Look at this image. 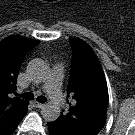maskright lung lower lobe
Returning <instances> with one entry per match:
<instances>
[{
    "instance_id": "1",
    "label": "right lung lower lobe",
    "mask_w": 135,
    "mask_h": 135,
    "mask_svg": "<svg viewBox=\"0 0 135 135\" xmlns=\"http://www.w3.org/2000/svg\"><path fill=\"white\" fill-rule=\"evenodd\" d=\"M16 128H17V127H16ZM16 128H15V129H16ZM15 129H14L10 134H12V133L15 131ZM10 134H8V135H10Z\"/></svg>"
}]
</instances>
